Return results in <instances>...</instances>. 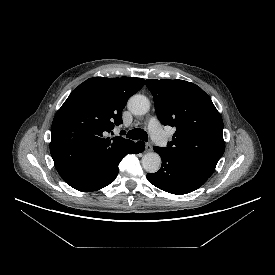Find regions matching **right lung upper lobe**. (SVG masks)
<instances>
[{"label": "right lung upper lobe", "instance_id": "obj_1", "mask_svg": "<svg viewBox=\"0 0 275 275\" xmlns=\"http://www.w3.org/2000/svg\"><path fill=\"white\" fill-rule=\"evenodd\" d=\"M143 85L142 78L93 77L72 91L51 126L50 153L64 181L105 168L134 144L106 136L122 123L123 108Z\"/></svg>", "mask_w": 275, "mask_h": 275}]
</instances>
